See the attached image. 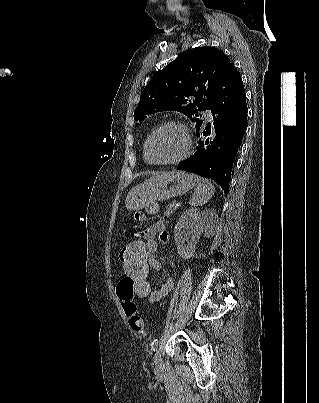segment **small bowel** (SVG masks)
I'll return each mask as SVG.
<instances>
[{
	"label": "small bowel",
	"instance_id": "obj_1",
	"mask_svg": "<svg viewBox=\"0 0 319 403\" xmlns=\"http://www.w3.org/2000/svg\"><path fill=\"white\" fill-rule=\"evenodd\" d=\"M149 209L154 212L157 210V205L153 203L149 206ZM125 231L131 232L132 226L126 225ZM137 238H142L143 242H147L148 255L150 258V268L156 271L161 270L162 265L160 261L155 258V253L158 249L159 244H167L169 242V234L166 231L164 224L159 221L151 225L150 227L142 231L140 234H138ZM170 264L172 265V267H175L172 261H170ZM173 288H174V280L171 277H168L160 288L152 289V295L144 296V299L147 300L149 305H156L160 301L164 300L171 293ZM130 290H132L133 292L132 296L135 299V284H131Z\"/></svg>",
	"mask_w": 319,
	"mask_h": 403
}]
</instances>
